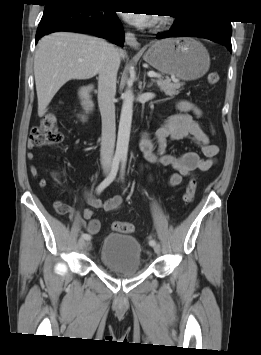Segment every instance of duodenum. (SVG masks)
I'll list each match as a JSON object with an SVG mask.
<instances>
[{
	"label": "duodenum",
	"mask_w": 261,
	"mask_h": 355,
	"mask_svg": "<svg viewBox=\"0 0 261 355\" xmlns=\"http://www.w3.org/2000/svg\"><path fill=\"white\" fill-rule=\"evenodd\" d=\"M92 90H93L92 85H86V86H83L79 92L81 103H82L85 111L89 114L93 113V111H94V105H93V101L91 98Z\"/></svg>",
	"instance_id": "1"
}]
</instances>
